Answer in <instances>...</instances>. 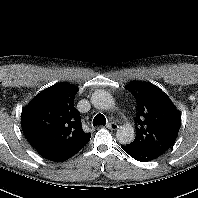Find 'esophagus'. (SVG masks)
<instances>
[{"label":"esophagus","instance_id":"1","mask_svg":"<svg viewBox=\"0 0 198 198\" xmlns=\"http://www.w3.org/2000/svg\"><path fill=\"white\" fill-rule=\"evenodd\" d=\"M106 127L112 131H115L119 128V125L115 122H110L106 125Z\"/></svg>","mask_w":198,"mask_h":198}]
</instances>
